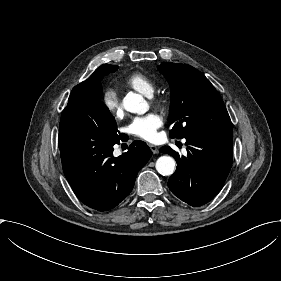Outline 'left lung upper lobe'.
<instances>
[{
	"label": "left lung upper lobe",
	"mask_w": 281,
	"mask_h": 281,
	"mask_svg": "<svg viewBox=\"0 0 281 281\" xmlns=\"http://www.w3.org/2000/svg\"><path fill=\"white\" fill-rule=\"evenodd\" d=\"M159 71L171 88L169 123L171 137L232 132V124L218 91L197 69L186 64L162 62Z\"/></svg>",
	"instance_id": "obj_1"
}]
</instances>
